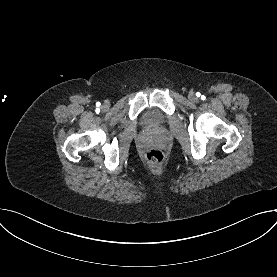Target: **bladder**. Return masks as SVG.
<instances>
[{
	"instance_id": "31cf9c89",
	"label": "bladder",
	"mask_w": 277,
	"mask_h": 277,
	"mask_svg": "<svg viewBox=\"0 0 277 277\" xmlns=\"http://www.w3.org/2000/svg\"><path fill=\"white\" fill-rule=\"evenodd\" d=\"M145 122L149 125H158L161 123V118L156 112L149 111L145 116Z\"/></svg>"
}]
</instances>
